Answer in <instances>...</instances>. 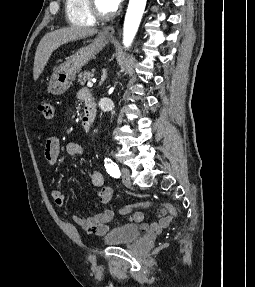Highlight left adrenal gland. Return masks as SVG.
Wrapping results in <instances>:
<instances>
[{
    "label": "left adrenal gland",
    "mask_w": 255,
    "mask_h": 287,
    "mask_svg": "<svg viewBox=\"0 0 255 287\" xmlns=\"http://www.w3.org/2000/svg\"><path fill=\"white\" fill-rule=\"evenodd\" d=\"M106 78H107V72H106V70H103V76L99 82L100 86H101V84H103V82H104V80H106Z\"/></svg>",
    "instance_id": "a2214340"
}]
</instances>
